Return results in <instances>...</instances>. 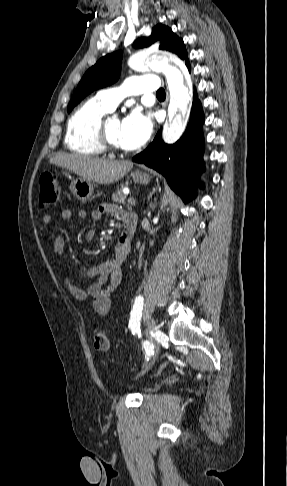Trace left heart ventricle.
I'll return each mask as SVG.
<instances>
[{
    "mask_svg": "<svg viewBox=\"0 0 287 486\" xmlns=\"http://www.w3.org/2000/svg\"><path fill=\"white\" fill-rule=\"evenodd\" d=\"M108 135L113 143L123 148L121 135V121L119 119H109L107 121Z\"/></svg>",
    "mask_w": 287,
    "mask_h": 486,
    "instance_id": "obj_1",
    "label": "left heart ventricle"
}]
</instances>
